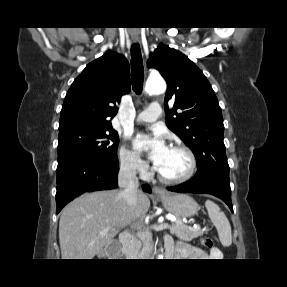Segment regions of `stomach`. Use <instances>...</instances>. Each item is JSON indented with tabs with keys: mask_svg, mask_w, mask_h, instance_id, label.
I'll list each match as a JSON object with an SVG mask.
<instances>
[{
	"mask_svg": "<svg viewBox=\"0 0 287 287\" xmlns=\"http://www.w3.org/2000/svg\"><path fill=\"white\" fill-rule=\"evenodd\" d=\"M159 200L168 212L178 218L194 216L199 210L197 202L187 194L166 192L164 195L159 196Z\"/></svg>",
	"mask_w": 287,
	"mask_h": 287,
	"instance_id": "0dacf381",
	"label": "stomach"
}]
</instances>
